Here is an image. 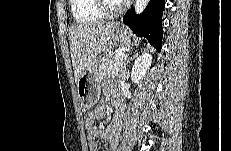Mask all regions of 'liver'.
Instances as JSON below:
<instances>
[{
    "instance_id": "liver-1",
    "label": "liver",
    "mask_w": 231,
    "mask_h": 151,
    "mask_svg": "<svg viewBox=\"0 0 231 151\" xmlns=\"http://www.w3.org/2000/svg\"><path fill=\"white\" fill-rule=\"evenodd\" d=\"M117 24H79L69 29V43L75 82L94 58L110 51Z\"/></svg>"
}]
</instances>
